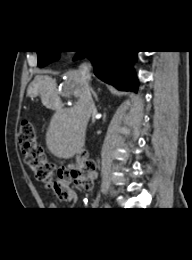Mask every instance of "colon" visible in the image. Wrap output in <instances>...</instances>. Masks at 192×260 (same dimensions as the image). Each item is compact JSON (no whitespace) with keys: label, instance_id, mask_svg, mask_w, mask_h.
Instances as JSON below:
<instances>
[{"label":"colon","instance_id":"5ec220e1","mask_svg":"<svg viewBox=\"0 0 192 260\" xmlns=\"http://www.w3.org/2000/svg\"><path fill=\"white\" fill-rule=\"evenodd\" d=\"M18 144L24 160L36 180L45 183L52 194L65 200L71 190V181L83 190H91L96 177V164L82 153L71 167H60L55 171L38 142L36 130L31 122L22 121L18 131Z\"/></svg>","mask_w":192,"mask_h":260}]
</instances>
